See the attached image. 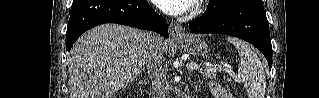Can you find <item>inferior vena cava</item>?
Masks as SVG:
<instances>
[{
	"label": "inferior vena cava",
	"mask_w": 319,
	"mask_h": 98,
	"mask_svg": "<svg viewBox=\"0 0 319 98\" xmlns=\"http://www.w3.org/2000/svg\"><path fill=\"white\" fill-rule=\"evenodd\" d=\"M162 37L149 33L146 51V67L152 82L153 98H165L167 93L166 75L162 64Z\"/></svg>",
	"instance_id": "1"
}]
</instances>
